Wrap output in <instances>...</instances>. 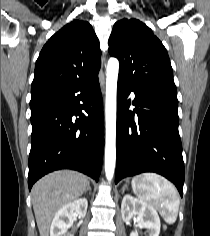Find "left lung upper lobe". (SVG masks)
Listing matches in <instances>:
<instances>
[{
    "instance_id": "5c2ea615",
    "label": "left lung upper lobe",
    "mask_w": 210,
    "mask_h": 236,
    "mask_svg": "<svg viewBox=\"0 0 210 236\" xmlns=\"http://www.w3.org/2000/svg\"><path fill=\"white\" fill-rule=\"evenodd\" d=\"M109 53L120 62L118 78L134 88L177 93L165 47L139 20L122 19L115 23Z\"/></svg>"
}]
</instances>
